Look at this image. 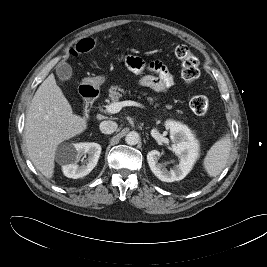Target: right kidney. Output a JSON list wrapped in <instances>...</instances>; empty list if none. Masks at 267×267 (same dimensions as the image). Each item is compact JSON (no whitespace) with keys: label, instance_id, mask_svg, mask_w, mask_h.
I'll return each instance as SVG.
<instances>
[{"label":"right kidney","instance_id":"right-kidney-1","mask_svg":"<svg viewBox=\"0 0 267 267\" xmlns=\"http://www.w3.org/2000/svg\"><path fill=\"white\" fill-rule=\"evenodd\" d=\"M101 149V146L94 142L73 144L70 155L62 166L64 175L73 179L88 175L97 165ZM86 154H88L86 165L79 166L80 158Z\"/></svg>","mask_w":267,"mask_h":267}]
</instances>
